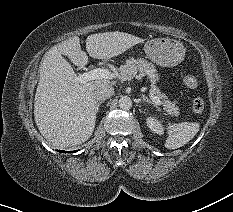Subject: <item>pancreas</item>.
I'll list each match as a JSON object with an SVG mask.
<instances>
[{
	"label": "pancreas",
	"instance_id": "pancreas-1",
	"mask_svg": "<svg viewBox=\"0 0 233 212\" xmlns=\"http://www.w3.org/2000/svg\"><path fill=\"white\" fill-rule=\"evenodd\" d=\"M120 75L123 79L133 78L135 76H145L148 75L150 78H153L157 75V71L154 65L148 61H145L141 58H130L127 59L124 65H121L119 68ZM151 93L156 95L161 99V104L163 109L171 116L179 115V108L175 106L173 102L167 99V96L161 94L160 90L157 87H152Z\"/></svg>",
	"mask_w": 233,
	"mask_h": 212
}]
</instances>
